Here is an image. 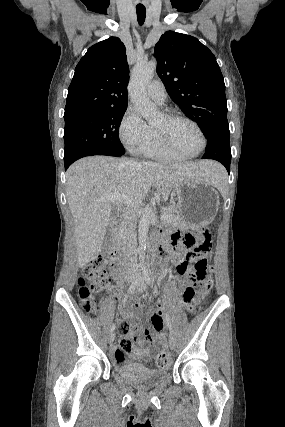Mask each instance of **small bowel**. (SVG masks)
<instances>
[{
	"label": "small bowel",
	"mask_w": 285,
	"mask_h": 427,
	"mask_svg": "<svg viewBox=\"0 0 285 427\" xmlns=\"http://www.w3.org/2000/svg\"><path fill=\"white\" fill-rule=\"evenodd\" d=\"M169 241L172 245H177V239L171 235ZM203 260L205 255H197L188 253L182 261L187 260ZM145 302V296L139 295L136 297L133 305V310H128L125 307H121L120 315L130 322V332L128 336L135 339L141 346V350L132 356L135 361H149L151 359V353L156 349L155 342L158 340V332L161 330L163 323L162 309L163 304H159L152 312L150 321H144L143 319V306ZM180 307H184L188 312L194 311V305L187 301L181 300ZM138 322H143V330H141ZM151 328L153 331H151ZM145 335V337H142ZM115 359L119 366H123L128 362L127 356L122 352L117 351L115 353Z\"/></svg>",
	"instance_id": "c3829d8e"
}]
</instances>
